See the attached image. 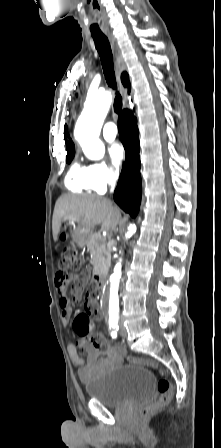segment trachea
Masks as SVG:
<instances>
[{
    "mask_svg": "<svg viewBox=\"0 0 221 448\" xmlns=\"http://www.w3.org/2000/svg\"><path fill=\"white\" fill-rule=\"evenodd\" d=\"M95 47L99 53L105 79L109 87L115 90L114 111L119 114L122 109V97L117 90L115 79L113 55L110 43L106 36H93Z\"/></svg>",
    "mask_w": 221,
    "mask_h": 448,
    "instance_id": "1",
    "label": "trachea"
}]
</instances>
